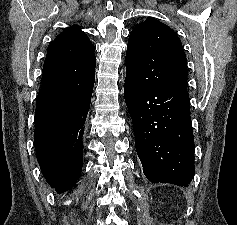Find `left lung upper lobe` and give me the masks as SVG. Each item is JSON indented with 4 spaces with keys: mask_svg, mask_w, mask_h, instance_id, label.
<instances>
[{
    "mask_svg": "<svg viewBox=\"0 0 237 225\" xmlns=\"http://www.w3.org/2000/svg\"><path fill=\"white\" fill-rule=\"evenodd\" d=\"M127 72L143 87L187 91L186 56L176 33L157 19L148 18L130 33Z\"/></svg>",
    "mask_w": 237,
    "mask_h": 225,
    "instance_id": "obj_1",
    "label": "left lung upper lobe"
}]
</instances>
